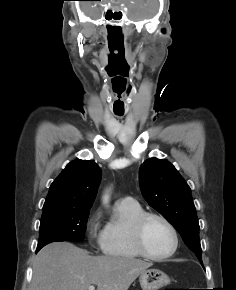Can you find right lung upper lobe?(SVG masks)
<instances>
[{"instance_id":"right-lung-upper-lobe-1","label":"right lung upper lobe","mask_w":236,"mask_h":290,"mask_svg":"<svg viewBox=\"0 0 236 290\" xmlns=\"http://www.w3.org/2000/svg\"><path fill=\"white\" fill-rule=\"evenodd\" d=\"M100 178L101 169L94 161H71L51 184L43 211L90 210Z\"/></svg>"}]
</instances>
